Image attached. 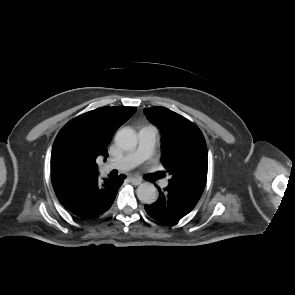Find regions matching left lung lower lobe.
Returning <instances> with one entry per match:
<instances>
[{"mask_svg":"<svg viewBox=\"0 0 295 295\" xmlns=\"http://www.w3.org/2000/svg\"><path fill=\"white\" fill-rule=\"evenodd\" d=\"M159 190L160 188L157 187ZM203 191L169 185L159 193L158 200L145 205L146 212L155 220L171 224L187 215L198 203Z\"/></svg>","mask_w":295,"mask_h":295,"instance_id":"left-lung-lower-lobe-1","label":"left lung lower lobe"}]
</instances>
